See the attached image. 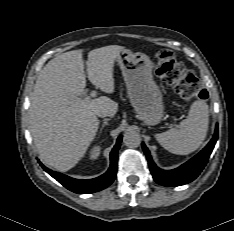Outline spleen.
<instances>
[{"label":"spleen","instance_id":"1","mask_svg":"<svg viewBox=\"0 0 234 231\" xmlns=\"http://www.w3.org/2000/svg\"><path fill=\"white\" fill-rule=\"evenodd\" d=\"M209 124V109L204 100L193 102L186 119L178 128L155 135L160 145L177 155H188L197 150L204 141Z\"/></svg>","mask_w":234,"mask_h":231}]
</instances>
